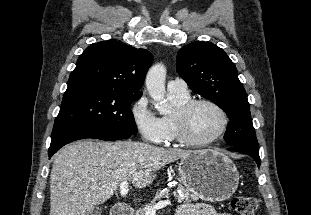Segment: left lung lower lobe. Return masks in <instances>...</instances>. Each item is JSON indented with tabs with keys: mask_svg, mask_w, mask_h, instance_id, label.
Returning <instances> with one entry per match:
<instances>
[{
	"mask_svg": "<svg viewBox=\"0 0 311 215\" xmlns=\"http://www.w3.org/2000/svg\"><path fill=\"white\" fill-rule=\"evenodd\" d=\"M228 150H230V151H239V152L248 154L252 158H254L256 163H257V165L260 166V162L261 161H260V157H259L258 151H254V150H251V149H248V148H244V147H232V148H229Z\"/></svg>",
	"mask_w": 311,
	"mask_h": 215,
	"instance_id": "0a47b994",
	"label": "left lung lower lobe"
}]
</instances>
